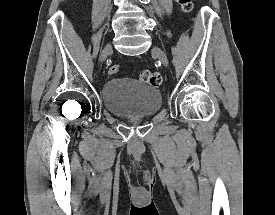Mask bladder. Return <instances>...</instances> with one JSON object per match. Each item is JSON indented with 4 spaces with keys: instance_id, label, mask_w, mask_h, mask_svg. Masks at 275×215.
Instances as JSON below:
<instances>
[{
    "instance_id": "obj_1",
    "label": "bladder",
    "mask_w": 275,
    "mask_h": 215,
    "mask_svg": "<svg viewBox=\"0 0 275 215\" xmlns=\"http://www.w3.org/2000/svg\"><path fill=\"white\" fill-rule=\"evenodd\" d=\"M102 102L107 110L121 117H150L161 107L159 90L143 81L113 78L102 87Z\"/></svg>"
}]
</instances>
